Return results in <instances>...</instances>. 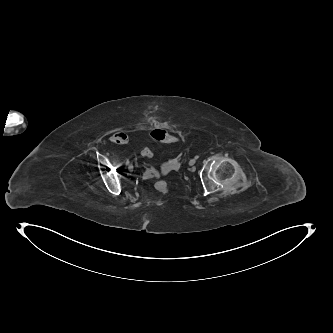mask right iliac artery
Wrapping results in <instances>:
<instances>
[{"instance_id":"1","label":"right iliac artery","mask_w":333,"mask_h":333,"mask_svg":"<svg viewBox=\"0 0 333 333\" xmlns=\"http://www.w3.org/2000/svg\"><path fill=\"white\" fill-rule=\"evenodd\" d=\"M130 164V161L127 159L126 160V165H129Z\"/></svg>"}]
</instances>
